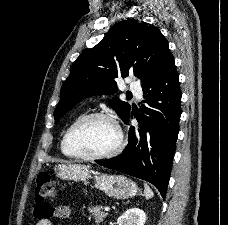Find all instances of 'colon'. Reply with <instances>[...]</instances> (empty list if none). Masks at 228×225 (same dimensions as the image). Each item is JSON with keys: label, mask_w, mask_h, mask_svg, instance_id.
Instances as JSON below:
<instances>
[{"label": "colon", "mask_w": 228, "mask_h": 225, "mask_svg": "<svg viewBox=\"0 0 228 225\" xmlns=\"http://www.w3.org/2000/svg\"><path fill=\"white\" fill-rule=\"evenodd\" d=\"M55 191V184L48 174L40 173L34 192V198L37 202H43Z\"/></svg>", "instance_id": "5ec220e1"}]
</instances>
